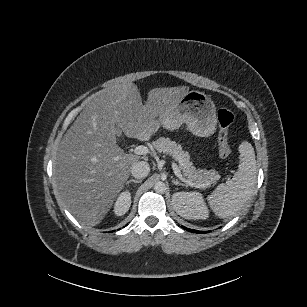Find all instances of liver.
Segmentation results:
<instances>
[{"instance_id": "obj_1", "label": "liver", "mask_w": 307, "mask_h": 307, "mask_svg": "<svg viewBox=\"0 0 307 307\" xmlns=\"http://www.w3.org/2000/svg\"><path fill=\"white\" fill-rule=\"evenodd\" d=\"M188 89H152L144 105L133 82L104 88L89 97L65 133L54 163L56 198L78 221L95 226L102 220L138 159L116 144L115 130L134 136L153 117L176 107Z\"/></svg>"}]
</instances>
